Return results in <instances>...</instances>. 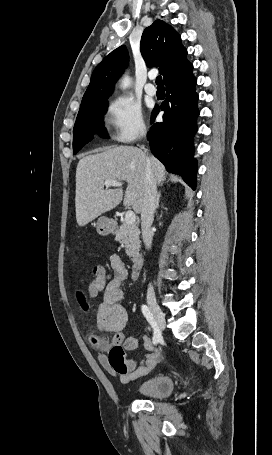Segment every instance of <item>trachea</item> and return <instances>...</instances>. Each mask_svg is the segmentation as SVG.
<instances>
[{
  "instance_id": "3493384b",
  "label": "trachea",
  "mask_w": 272,
  "mask_h": 455,
  "mask_svg": "<svg viewBox=\"0 0 272 455\" xmlns=\"http://www.w3.org/2000/svg\"><path fill=\"white\" fill-rule=\"evenodd\" d=\"M156 84L158 85V87H164V84H163V81H162V77H161V76H157V78H156Z\"/></svg>"
}]
</instances>
